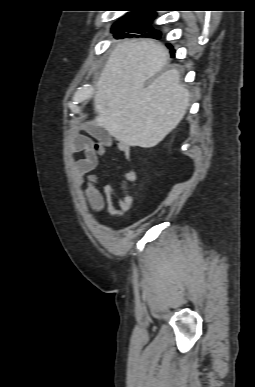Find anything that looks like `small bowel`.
I'll use <instances>...</instances> for the list:
<instances>
[{
    "label": "small bowel",
    "instance_id": "c3829d8e",
    "mask_svg": "<svg viewBox=\"0 0 255 387\" xmlns=\"http://www.w3.org/2000/svg\"><path fill=\"white\" fill-rule=\"evenodd\" d=\"M114 145L110 134L102 127L92 123H75L71 137V153H83V157L76 159L73 165L74 180L82 189L89 206L94 211H101L105 207L113 214L125 217L132 206V198L127 193V186L137 180V173L128 170L121 183L122 196H118L114 188L107 184L103 192L97 188L98 177L92 172L106 151ZM116 149L123 153L127 161L131 160L130 146L121 140L115 142Z\"/></svg>",
    "mask_w": 255,
    "mask_h": 387
}]
</instances>
